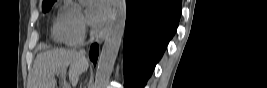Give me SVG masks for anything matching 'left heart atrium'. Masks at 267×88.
<instances>
[{"mask_svg":"<svg viewBox=\"0 0 267 88\" xmlns=\"http://www.w3.org/2000/svg\"><path fill=\"white\" fill-rule=\"evenodd\" d=\"M111 14L110 2L106 0L91 1L87 8V19L95 27L103 25Z\"/></svg>","mask_w":267,"mask_h":88,"instance_id":"obj_1","label":"left heart atrium"}]
</instances>
